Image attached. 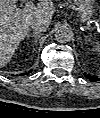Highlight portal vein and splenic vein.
<instances>
[{
    "label": "portal vein and splenic vein",
    "mask_w": 100,
    "mask_h": 118,
    "mask_svg": "<svg viewBox=\"0 0 100 118\" xmlns=\"http://www.w3.org/2000/svg\"><path fill=\"white\" fill-rule=\"evenodd\" d=\"M34 9H36L35 4L32 1H29L23 6L22 9L17 8L16 14L19 15L20 13H26V12H31Z\"/></svg>",
    "instance_id": "portal-vein-and-splenic-vein-1"
}]
</instances>
